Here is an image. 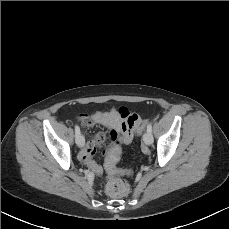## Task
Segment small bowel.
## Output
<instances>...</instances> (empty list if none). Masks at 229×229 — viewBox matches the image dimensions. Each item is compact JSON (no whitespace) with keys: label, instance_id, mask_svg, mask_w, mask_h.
<instances>
[{"label":"small bowel","instance_id":"c3829d8e","mask_svg":"<svg viewBox=\"0 0 229 229\" xmlns=\"http://www.w3.org/2000/svg\"><path fill=\"white\" fill-rule=\"evenodd\" d=\"M133 115L135 114L123 107L119 110L113 109L108 112L83 113L77 117L83 127L89 128L101 125L110 130L111 137L114 136L112 143L105 152L104 167L109 174L116 172L117 162L114 160V155L117 151H121V144H129L132 141L133 132L129 131L126 127ZM106 137V133H98L93 137L87 138L78 154L79 160L94 171L99 169V165L91 159V155L97 147L104 144Z\"/></svg>","mask_w":229,"mask_h":229}]
</instances>
